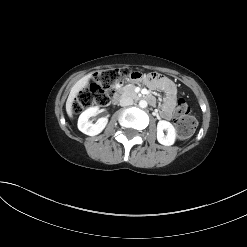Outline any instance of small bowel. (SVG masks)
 <instances>
[{"mask_svg": "<svg viewBox=\"0 0 247 247\" xmlns=\"http://www.w3.org/2000/svg\"><path fill=\"white\" fill-rule=\"evenodd\" d=\"M126 79L131 82H148L149 87L159 89L164 93V100L160 108V116L170 119L176 104L177 91L175 85L159 73L151 71L128 70Z\"/></svg>", "mask_w": 247, "mask_h": 247, "instance_id": "1", "label": "small bowel"}]
</instances>
